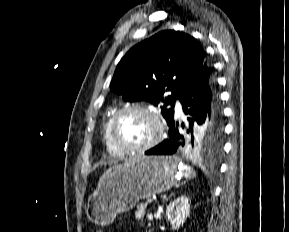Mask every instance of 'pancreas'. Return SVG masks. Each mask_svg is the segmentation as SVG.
<instances>
[{
	"label": "pancreas",
	"mask_w": 289,
	"mask_h": 232,
	"mask_svg": "<svg viewBox=\"0 0 289 232\" xmlns=\"http://www.w3.org/2000/svg\"><path fill=\"white\" fill-rule=\"evenodd\" d=\"M147 204H140L138 206V210L135 212V217L138 220L143 219L144 215H145V210H146Z\"/></svg>",
	"instance_id": "pancreas-1"
}]
</instances>
